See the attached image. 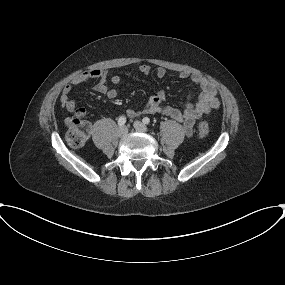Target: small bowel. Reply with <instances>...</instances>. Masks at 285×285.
I'll use <instances>...</instances> for the list:
<instances>
[{"instance_id": "obj_1", "label": "small bowel", "mask_w": 285, "mask_h": 285, "mask_svg": "<svg viewBox=\"0 0 285 285\" xmlns=\"http://www.w3.org/2000/svg\"><path fill=\"white\" fill-rule=\"evenodd\" d=\"M139 70L141 73L147 75L151 72V67L147 64H143L139 67ZM155 74L158 78H163L166 75V70L162 67H158L155 70ZM179 77L181 79H190L196 86L198 93L195 102L188 101L180 108L168 105L164 106L163 103L166 100V95L163 91H160L149 98L142 110L131 108L126 111L127 115L129 117H137L141 114L154 115L160 113L170 116L181 122L186 135L191 136L195 122L203 115L209 114L212 110L217 109L219 107V99L216 88L206 78L200 75L190 74L186 71L181 72ZM92 79L98 80L94 86L96 92L106 95L110 100L118 96V90L111 88L109 83L114 86H119L121 84V78L119 76L114 75L109 77L108 72L101 69L88 70L73 77L62 90L60 101L68 111H75L76 115H85V109H76V102L70 97V92L74 86ZM189 98H191V95H189Z\"/></svg>"}]
</instances>
